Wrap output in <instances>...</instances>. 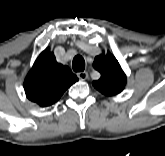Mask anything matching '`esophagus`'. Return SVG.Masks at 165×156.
Listing matches in <instances>:
<instances>
[{
	"label": "esophagus",
	"instance_id": "esophagus-1",
	"mask_svg": "<svg viewBox=\"0 0 165 156\" xmlns=\"http://www.w3.org/2000/svg\"><path fill=\"white\" fill-rule=\"evenodd\" d=\"M77 76L80 80H86L88 78V73L87 72H78Z\"/></svg>",
	"mask_w": 165,
	"mask_h": 156
}]
</instances>
